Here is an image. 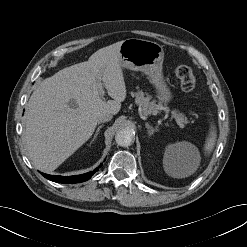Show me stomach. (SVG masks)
Wrapping results in <instances>:
<instances>
[{"label": "stomach", "instance_id": "obj_1", "mask_svg": "<svg viewBox=\"0 0 247 247\" xmlns=\"http://www.w3.org/2000/svg\"><path fill=\"white\" fill-rule=\"evenodd\" d=\"M120 65L122 68L145 73L156 89L161 104H168L172 93L167 86L163 74V47L153 41L129 38L120 46Z\"/></svg>", "mask_w": 247, "mask_h": 247}]
</instances>
